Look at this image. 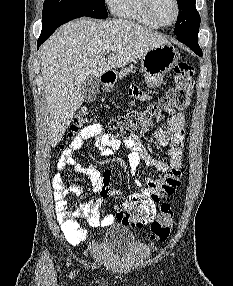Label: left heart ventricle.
I'll list each match as a JSON object with an SVG mask.
<instances>
[{
  "label": "left heart ventricle",
  "instance_id": "b2bd125f",
  "mask_svg": "<svg viewBox=\"0 0 233 286\" xmlns=\"http://www.w3.org/2000/svg\"><path fill=\"white\" fill-rule=\"evenodd\" d=\"M153 9L157 20L163 24L170 23L175 17L173 0H154Z\"/></svg>",
  "mask_w": 233,
  "mask_h": 286
}]
</instances>
